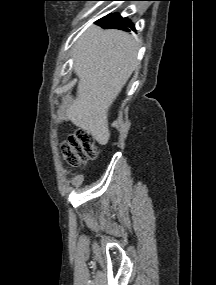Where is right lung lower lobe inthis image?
Listing matches in <instances>:
<instances>
[{
  "mask_svg": "<svg viewBox=\"0 0 216 285\" xmlns=\"http://www.w3.org/2000/svg\"><path fill=\"white\" fill-rule=\"evenodd\" d=\"M103 28H116L124 31H129V28L135 31L134 25L126 18L120 17L118 14H109L96 22Z\"/></svg>",
  "mask_w": 216,
  "mask_h": 285,
  "instance_id": "right-lung-lower-lobe-1",
  "label": "right lung lower lobe"
}]
</instances>
